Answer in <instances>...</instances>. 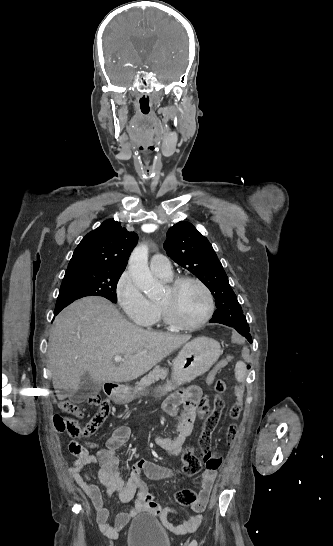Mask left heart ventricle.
I'll list each match as a JSON object with an SVG mask.
<instances>
[{
    "instance_id": "1",
    "label": "left heart ventricle",
    "mask_w": 333,
    "mask_h": 546,
    "mask_svg": "<svg viewBox=\"0 0 333 546\" xmlns=\"http://www.w3.org/2000/svg\"><path fill=\"white\" fill-rule=\"evenodd\" d=\"M159 302L166 304L173 315L184 323L198 321L207 307L205 293L194 283H185L175 292L167 288Z\"/></svg>"
}]
</instances>
